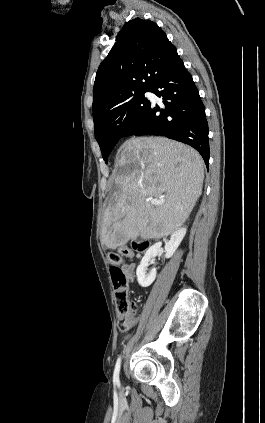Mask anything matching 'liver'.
<instances>
[{
    "label": "liver",
    "instance_id": "obj_1",
    "mask_svg": "<svg viewBox=\"0 0 265 423\" xmlns=\"http://www.w3.org/2000/svg\"><path fill=\"white\" fill-rule=\"evenodd\" d=\"M204 161L192 147L165 137H132L115 161L116 191L105 210L101 243L160 238L179 229L202 193ZM164 199L152 205L147 199Z\"/></svg>",
    "mask_w": 265,
    "mask_h": 423
}]
</instances>
